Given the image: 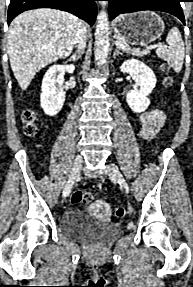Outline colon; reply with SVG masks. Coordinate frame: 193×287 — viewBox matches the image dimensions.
<instances>
[{
  "instance_id": "colon-1",
  "label": "colon",
  "mask_w": 193,
  "mask_h": 287,
  "mask_svg": "<svg viewBox=\"0 0 193 287\" xmlns=\"http://www.w3.org/2000/svg\"><path fill=\"white\" fill-rule=\"evenodd\" d=\"M166 84H171V78L166 79ZM23 122H24V132L27 136L32 137L37 132V127L35 125V113L28 109L23 113ZM93 200V196L89 192H83L81 190H75L72 193L71 201L73 204H89ZM115 215L118 218H123L125 216V209L123 207H117L115 209Z\"/></svg>"
}]
</instances>
